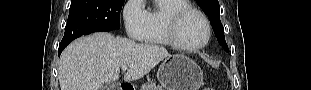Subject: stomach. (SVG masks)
<instances>
[{
	"instance_id": "1",
	"label": "stomach",
	"mask_w": 311,
	"mask_h": 90,
	"mask_svg": "<svg viewBox=\"0 0 311 90\" xmlns=\"http://www.w3.org/2000/svg\"><path fill=\"white\" fill-rule=\"evenodd\" d=\"M157 78L164 90H198L203 82V73L193 60L176 54L162 62Z\"/></svg>"
}]
</instances>
